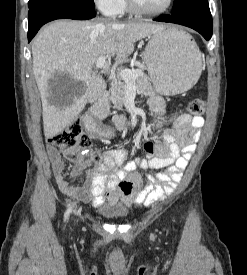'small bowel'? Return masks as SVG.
<instances>
[{"mask_svg":"<svg viewBox=\"0 0 247 275\" xmlns=\"http://www.w3.org/2000/svg\"><path fill=\"white\" fill-rule=\"evenodd\" d=\"M149 104L156 116L157 126H162L165 114V101L158 96L150 98ZM172 129L164 133L160 141L148 140L144 150L145 159H126V152L120 148L108 149L104 152L103 163L89 169L90 160L87 151L76 161V165L68 173L60 152L55 146L47 147L52 170L60 190L82 202H92L95 207L105 204L115 206L118 203L125 207L133 205H150L170 196L178 187L182 172L196 150V142L204 118L200 115L175 113L171 118ZM89 129L93 123L86 119ZM164 171L147 174V181L137 169ZM86 171V179L82 185L71 184L68 177L74 178ZM129 185L130 191L123 193L120 185Z\"/></svg>","mask_w":247,"mask_h":275,"instance_id":"small-bowel-1","label":"small bowel"}]
</instances>
